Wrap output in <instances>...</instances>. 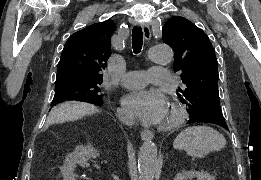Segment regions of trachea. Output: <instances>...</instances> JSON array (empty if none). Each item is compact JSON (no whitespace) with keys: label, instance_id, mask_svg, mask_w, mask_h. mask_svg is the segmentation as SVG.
I'll return each mask as SVG.
<instances>
[{"label":"trachea","instance_id":"obj_1","mask_svg":"<svg viewBox=\"0 0 261 180\" xmlns=\"http://www.w3.org/2000/svg\"><path fill=\"white\" fill-rule=\"evenodd\" d=\"M143 45V32L141 27H133L132 30V46L134 53H139Z\"/></svg>","mask_w":261,"mask_h":180}]
</instances>
